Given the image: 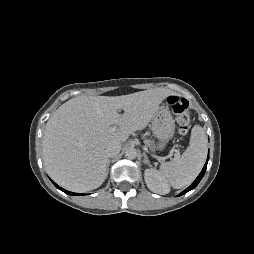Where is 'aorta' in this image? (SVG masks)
Masks as SVG:
<instances>
[{"instance_id": "1", "label": "aorta", "mask_w": 254, "mask_h": 254, "mask_svg": "<svg viewBox=\"0 0 254 254\" xmlns=\"http://www.w3.org/2000/svg\"><path fill=\"white\" fill-rule=\"evenodd\" d=\"M137 155H138L137 150L135 148H133V147L128 148L125 151V156L128 159H135L137 157Z\"/></svg>"}]
</instances>
